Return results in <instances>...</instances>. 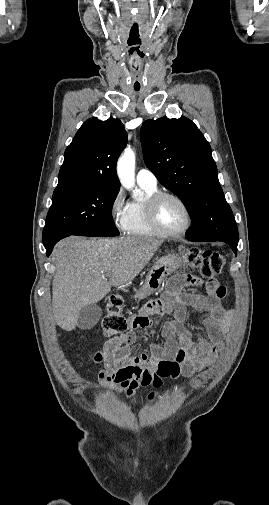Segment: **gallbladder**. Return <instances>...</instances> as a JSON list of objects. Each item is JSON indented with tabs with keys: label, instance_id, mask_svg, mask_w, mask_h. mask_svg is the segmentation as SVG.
I'll return each mask as SVG.
<instances>
[{
	"label": "gallbladder",
	"instance_id": "bac80fb5",
	"mask_svg": "<svg viewBox=\"0 0 269 505\" xmlns=\"http://www.w3.org/2000/svg\"><path fill=\"white\" fill-rule=\"evenodd\" d=\"M101 315L102 309L97 304H88L80 310L77 326L82 330H89L97 324Z\"/></svg>",
	"mask_w": 269,
	"mask_h": 505
}]
</instances>
